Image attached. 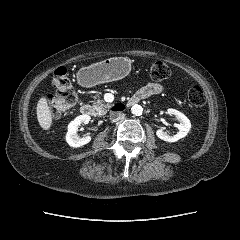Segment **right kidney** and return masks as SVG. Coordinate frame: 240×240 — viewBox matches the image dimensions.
<instances>
[{
    "label": "right kidney",
    "mask_w": 240,
    "mask_h": 240,
    "mask_svg": "<svg viewBox=\"0 0 240 240\" xmlns=\"http://www.w3.org/2000/svg\"><path fill=\"white\" fill-rule=\"evenodd\" d=\"M91 117L87 114H82L75 117L68 124V131L66 134V141L71 147H81L91 141L90 136L79 137L77 134L78 126L82 123L88 124Z\"/></svg>",
    "instance_id": "obj_1"
}]
</instances>
